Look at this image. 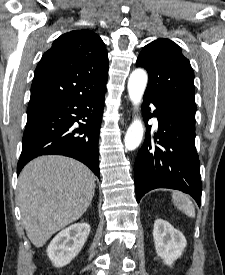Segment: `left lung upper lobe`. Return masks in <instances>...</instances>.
I'll return each mask as SVG.
<instances>
[{
    "mask_svg": "<svg viewBox=\"0 0 225 275\" xmlns=\"http://www.w3.org/2000/svg\"><path fill=\"white\" fill-rule=\"evenodd\" d=\"M136 66L144 67L148 72L146 92L191 113L196 112L194 72L176 43L161 38L147 44L139 54Z\"/></svg>",
    "mask_w": 225,
    "mask_h": 275,
    "instance_id": "1",
    "label": "left lung upper lobe"
}]
</instances>
